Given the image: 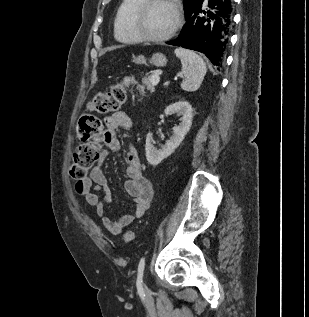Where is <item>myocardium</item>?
Returning <instances> with one entry per match:
<instances>
[{
    "label": "myocardium",
    "mask_w": 309,
    "mask_h": 317,
    "mask_svg": "<svg viewBox=\"0 0 309 317\" xmlns=\"http://www.w3.org/2000/svg\"><path fill=\"white\" fill-rule=\"evenodd\" d=\"M157 3H167L171 5L176 14V21L172 29L164 35L152 36L146 34L141 28V22L146 12ZM184 17L181 5L178 0H143L140 5L134 10L131 16V29L133 33L139 38L140 41L150 43H161L168 41L176 35L183 25Z\"/></svg>",
    "instance_id": "1"
}]
</instances>
